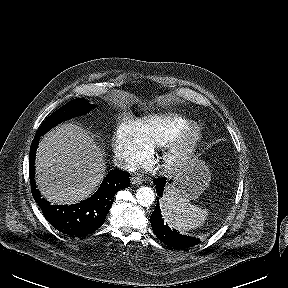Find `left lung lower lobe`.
Listing matches in <instances>:
<instances>
[{
  "label": "left lung lower lobe",
  "mask_w": 288,
  "mask_h": 288,
  "mask_svg": "<svg viewBox=\"0 0 288 288\" xmlns=\"http://www.w3.org/2000/svg\"><path fill=\"white\" fill-rule=\"evenodd\" d=\"M154 183L157 195L162 197L166 179H156ZM159 197H156L157 205L150 216L152 229L159 240L173 249H185L199 244L200 240L198 238L181 235L176 230H172L167 223H164L158 202Z\"/></svg>",
  "instance_id": "1"
}]
</instances>
